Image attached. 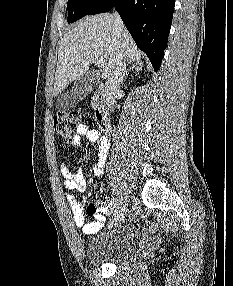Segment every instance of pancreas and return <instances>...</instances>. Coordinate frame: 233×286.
Segmentation results:
<instances>
[{
  "label": "pancreas",
  "instance_id": "obj_1",
  "mask_svg": "<svg viewBox=\"0 0 233 286\" xmlns=\"http://www.w3.org/2000/svg\"><path fill=\"white\" fill-rule=\"evenodd\" d=\"M93 107L95 108L96 107V105L93 103Z\"/></svg>",
  "mask_w": 233,
  "mask_h": 286
}]
</instances>
